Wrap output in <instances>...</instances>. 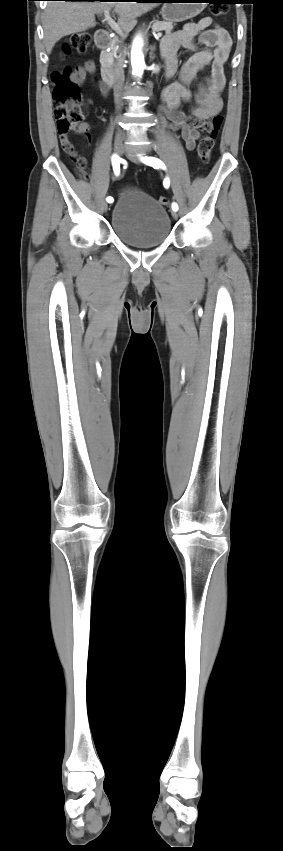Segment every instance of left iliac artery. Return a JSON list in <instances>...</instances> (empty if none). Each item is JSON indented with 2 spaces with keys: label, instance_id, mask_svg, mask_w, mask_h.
Masks as SVG:
<instances>
[{
  "label": "left iliac artery",
  "instance_id": "1",
  "mask_svg": "<svg viewBox=\"0 0 283 851\" xmlns=\"http://www.w3.org/2000/svg\"><path fill=\"white\" fill-rule=\"evenodd\" d=\"M141 160H142V162H144L145 164H147V165H149V166H152V167H154V168H162V169H166L165 164H164V163H163L160 159H158V158H155V157H147V156H146V157L141 158ZM163 185H164V187H165V188H168V187L170 186V181H169V179H168V178H165V179H164ZM172 209H173V211H177V210H178V205H177L175 202H174V203H172Z\"/></svg>",
  "mask_w": 283,
  "mask_h": 851
}]
</instances>
